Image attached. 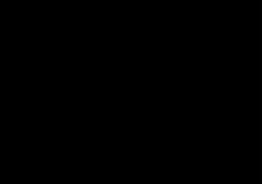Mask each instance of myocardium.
Masks as SVG:
<instances>
[{
    "label": "myocardium",
    "mask_w": 262,
    "mask_h": 184,
    "mask_svg": "<svg viewBox=\"0 0 262 184\" xmlns=\"http://www.w3.org/2000/svg\"><path fill=\"white\" fill-rule=\"evenodd\" d=\"M150 64L155 80H161L169 71L170 58L166 53L158 52L150 59Z\"/></svg>",
    "instance_id": "1"
}]
</instances>
